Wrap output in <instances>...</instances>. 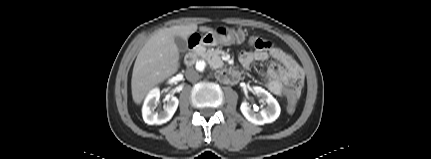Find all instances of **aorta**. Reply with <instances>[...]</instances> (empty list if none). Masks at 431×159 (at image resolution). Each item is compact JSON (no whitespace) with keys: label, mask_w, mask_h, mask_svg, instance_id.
Returning a JSON list of instances; mask_svg holds the SVG:
<instances>
[{"label":"aorta","mask_w":431,"mask_h":159,"mask_svg":"<svg viewBox=\"0 0 431 159\" xmlns=\"http://www.w3.org/2000/svg\"><path fill=\"white\" fill-rule=\"evenodd\" d=\"M207 69L206 62H197V71L204 72Z\"/></svg>","instance_id":"762f6f07"}]
</instances>
